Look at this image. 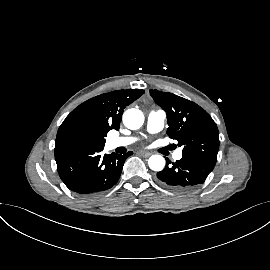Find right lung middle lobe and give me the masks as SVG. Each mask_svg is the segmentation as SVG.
Masks as SVG:
<instances>
[{"mask_svg":"<svg viewBox=\"0 0 270 270\" xmlns=\"http://www.w3.org/2000/svg\"><path fill=\"white\" fill-rule=\"evenodd\" d=\"M104 136L83 124H75L58 130L55 149L77 147H104Z\"/></svg>","mask_w":270,"mask_h":270,"instance_id":"1","label":"right lung middle lobe"}]
</instances>
